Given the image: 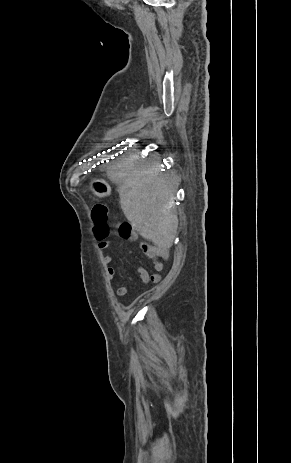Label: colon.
Masks as SVG:
<instances>
[{
	"instance_id": "obj_1",
	"label": "colon",
	"mask_w": 291,
	"mask_h": 463,
	"mask_svg": "<svg viewBox=\"0 0 291 463\" xmlns=\"http://www.w3.org/2000/svg\"><path fill=\"white\" fill-rule=\"evenodd\" d=\"M91 218L93 221V235L99 241V246L104 247L107 243V238L115 230L118 237L122 239H131L134 235L132 226L127 221H119L116 224L109 222V208L106 204L98 203L92 207ZM155 254L161 258H165L164 250L154 248Z\"/></svg>"
}]
</instances>
